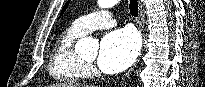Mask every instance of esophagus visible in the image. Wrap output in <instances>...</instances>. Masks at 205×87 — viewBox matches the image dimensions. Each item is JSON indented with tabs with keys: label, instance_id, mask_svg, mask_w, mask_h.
<instances>
[{
	"label": "esophagus",
	"instance_id": "obj_1",
	"mask_svg": "<svg viewBox=\"0 0 205 87\" xmlns=\"http://www.w3.org/2000/svg\"><path fill=\"white\" fill-rule=\"evenodd\" d=\"M137 2H138V7H139V19L142 20V17H143V10H142L143 5H142V0H137ZM141 24H142V22H141ZM135 66H136V65H134V66L127 72L126 77H128V76L130 75V73L133 71V69H134Z\"/></svg>",
	"mask_w": 205,
	"mask_h": 87
}]
</instances>
